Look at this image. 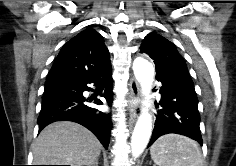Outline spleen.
Wrapping results in <instances>:
<instances>
[{"label":"spleen","instance_id":"obj_1","mask_svg":"<svg viewBox=\"0 0 236 166\" xmlns=\"http://www.w3.org/2000/svg\"><path fill=\"white\" fill-rule=\"evenodd\" d=\"M158 166H202V155L195 141L177 134L160 137L150 149Z\"/></svg>","mask_w":236,"mask_h":166}]
</instances>
